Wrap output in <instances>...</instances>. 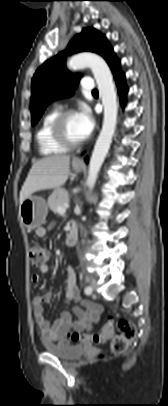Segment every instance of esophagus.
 Here are the masks:
<instances>
[{
  "label": "esophagus",
  "instance_id": "obj_1",
  "mask_svg": "<svg viewBox=\"0 0 168 406\" xmlns=\"http://www.w3.org/2000/svg\"><path fill=\"white\" fill-rule=\"evenodd\" d=\"M75 162H77V163H82V159H81V158H77V159H75Z\"/></svg>",
  "mask_w": 168,
  "mask_h": 406
}]
</instances>
